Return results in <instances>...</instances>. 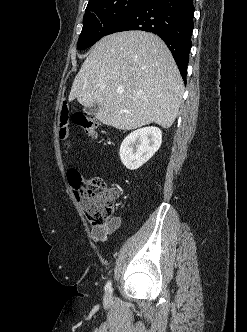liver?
Listing matches in <instances>:
<instances>
[{
  "mask_svg": "<svg viewBox=\"0 0 247 332\" xmlns=\"http://www.w3.org/2000/svg\"><path fill=\"white\" fill-rule=\"evenodd\" d=\"M122 89L123 93H117ZM183 81L165 43L145 31H124L99 40L76 75L69 101L98 105L96 118L119 130L174 123Z\"/></svg>",
  "mask_w": 247,
  "mask_h": 332,
  "instance_id": "1",
  "label": "liver"
}]
</instances>
